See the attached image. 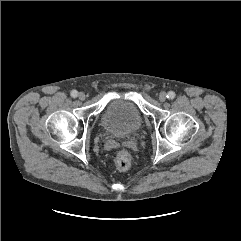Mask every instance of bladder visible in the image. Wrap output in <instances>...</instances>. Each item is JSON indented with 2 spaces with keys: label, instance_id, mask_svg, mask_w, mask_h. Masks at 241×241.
<instances>
[{
  "label": "bladder",
  "instance_id": "obj_1",
  "mask_svg": "<svg viewBox=\"0 0 241 241\" xmlns=\"http://www.w3.org/2000/svg\"><path fill=\"white\" fill-rule=\"evenodd\" d=\"M100 122L108 134L116 138H126L141 128L142 116L133 101L116 98L105 104Z\"/></svg>",
  "mask_w": 241,
  "mask_h": 241
}]
</instances>
